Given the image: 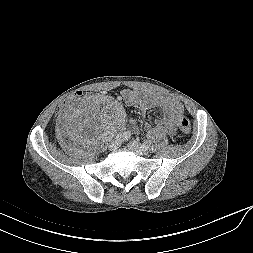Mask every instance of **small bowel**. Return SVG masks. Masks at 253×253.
I'll use <instances>...</instances> for the list:
<instances>
[{
    "label": "small bowel",
    "mask_w": 253,
    "mask_h": 253,
    "mask_svg": "<svg viewBox=\"0 0 253 253\" xmlns=\"http://www.w3.org/2000/svg\"><path fill=\"white\" fill-rule=\"evenodd\" d=\"M122 97L127 105L136 107L143 112L151 109L161 110L162 114L155 121L156 126L165 129L171 135L175 134L176 123L183 115V106L178 100L129 89L122 92ZM130 124L134 129L137 128L135 120H130ZM145 128L151 130V125L145 122Z\"/></svg>",
    "instance_id": "obj_1"
}]
</instances>
